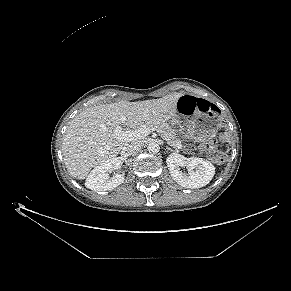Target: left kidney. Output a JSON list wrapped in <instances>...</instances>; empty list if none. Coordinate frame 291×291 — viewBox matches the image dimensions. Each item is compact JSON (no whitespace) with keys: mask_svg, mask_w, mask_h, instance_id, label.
Instances as JSON below:
<instances>
[{"mask_svg":"<svg viewBox=\"0 0 291 291\" xmlns=\"http://www.w3.org/2000/svg\"><path fill=\"white\" fill-rule=\"evenodd\" d=\"M166 163L171 177L185 188L206 186L215 174L214 165L203 158H186L174 152L167 157ZM181 167H186L188 173L180 171Z\"/></svg>","mask_w":291,"mask_h":291,"instance_id":"left-kidney-1","label":"left kidney"}]
</instances>
